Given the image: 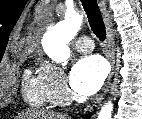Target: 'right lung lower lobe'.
<instances>
[{
    "label": "right lung lower lobe",
    "mask_w": 142,
    "mask_h": 119,
    "mask_svg": "<svg viewBox=\"0 0 142 119\" xmlns=\"http://www.w3.org/2000/svg\"><path fill=\"white\" fill-rule=\"evenodd\" d=\"M90 115H91V113H89V115L87 116V118H89V117H90Z\"/></svg>",
    "instance_id": "98d812e1"
}]
</instances>
